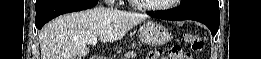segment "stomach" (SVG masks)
I'll use <instances>...</instances> for the list:
<instances>
[{
  "mask_svg": "<svg viewBox=\"0 0 261 59\" xmlns=\"http://www.w3.org/2000/svg\"><path fill=\"white\" fill-rule=\"evenodd\" d=\"M139 32V38L142 44L159 46L166 44L170 40L168 29L157 22H146Z\"/></svg>",
  "mask_w": 261,
  "mask_h": 59,
  "instance_id": "1",
  "label": "stomach"
}]
</instances>
